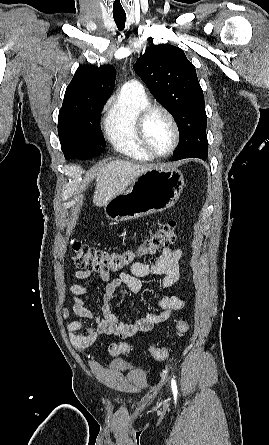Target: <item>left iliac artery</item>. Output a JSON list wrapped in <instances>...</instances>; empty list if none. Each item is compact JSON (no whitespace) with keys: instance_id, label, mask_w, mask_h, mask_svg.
<instances>
[{"instance_id":"1","label":"left iliac artery","mask_w":269,"mask_h":445,"mask_svg":"<svg viewBox=\"0 0 269 445\" xmlns=\"http://www.w3.org/2000/svg\"><path fill=\"white\" fill-rule=\"evenodd\" d=\"M171 386H172V392L174 394V396H177V385H176V381L174 380V378H172L171 380Z\"/></svg>"}]
</instances>
